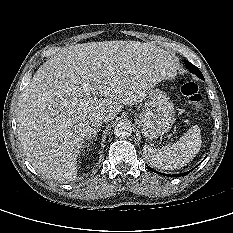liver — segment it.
<instances>
[{"label": "liver", "mask_w": 233, "mask_h": 233, "mask_svg": "<svg viewBox=\"0 0 233 233\" xmlns=\"http://www.w3.org/2000/svg\"><path fill=\"white\" fill-rule=\"evenodd\" d=\"M173 71L167 52L149 43L103 41L62 49L20 96L17 132L28 161L45 178L72 181L80 150L96 131L92 116L114 119L123 105L142 102Z\"/></svg>", "instance_id": "6515ba94"}]
</instances>
